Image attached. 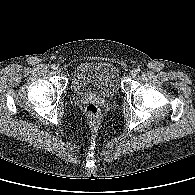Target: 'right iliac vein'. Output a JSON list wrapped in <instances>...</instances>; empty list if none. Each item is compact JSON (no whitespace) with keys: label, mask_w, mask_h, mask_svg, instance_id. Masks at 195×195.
<instances>
[{"label":"right iliac vein","mask_w":195,"mask_h":195,"mask_svg":"<svg viewBox=\"0 0 195 195\" xmlns=\"http://www.w3.org/2000/svg\"><path fill=\"white\" fill-rule=\"evenodd\" d=\"M55 72H56L57 74H59V73L61 72V68H60V67H56V68H55Z\"/></svg>","instance_id":"obj_1"}]
</instances>
